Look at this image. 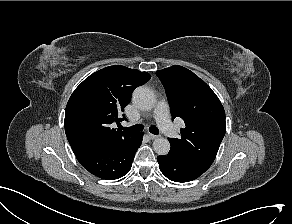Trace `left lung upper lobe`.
<instances>
[{
  "label": "left lung upper lobe",
  "instance_id": "left-lung-upper-lobe-1",
  "mask_svg": "<svg viewBox=\"0 0 292 224\" xmlns=\"http://www.w3.org/2000/svg\"><path fill=\"white\" fill-rule=\"evenodd\" d=\"M156 75L165 88L172 119L180 117L185 122L181 138H168L170 150L207 170L226 131L220 100L203 80L182 66L159 70Z\"/></svg>",
  "mask_w": 292,
  "mask_h": 224
}]
</instances>
